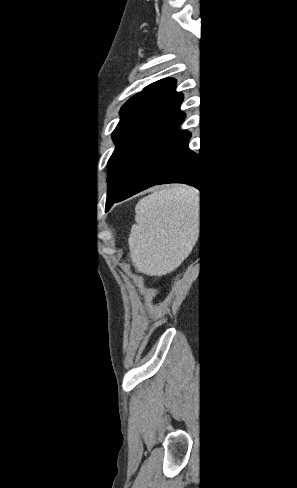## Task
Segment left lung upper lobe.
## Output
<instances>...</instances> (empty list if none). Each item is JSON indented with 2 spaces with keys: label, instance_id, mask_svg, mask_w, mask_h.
<instances>
[{
  "label": "left lung upper lobe",
  "instance_id": "left-lung-upper-lobe-1",
  "mask_svg": "<svg viewBox=\"0 0 297 488\" xmlns=\"http://www.w3.org/2000/svg\"><path fill=\"white\" fill-rule=\"evenodd\" d=\"M176 80L166 78L148 85L121 108L112 138L117 144L108 161L107 204L118 197L138 171L180 131L185 114L183 94Z\"/></svg>",
  "mask_w": 297,
  "mask_h": 488
}]
</instances>
